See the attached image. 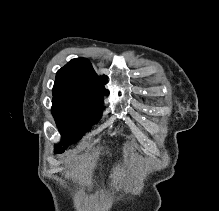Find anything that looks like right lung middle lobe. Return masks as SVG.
I'll return each instance as SVG.
<instances>
[{"label":"right lung middle lobe","instance_id":"1","mask_svg":"<svg viewBox=\"0 0 219 211\" xmlns=\"http://www.w3.org/2000/svg\"><path fill=\"white\" fill-rule=\"evenodd\" d=\"M52 113L62 141L70 144L78 141L99 120L102 108L100 105L53 100ZM65 148L67 146H56L55 153H62Z\"/></svg>","mask_w":219,"mask_h":211}]
</instances>
